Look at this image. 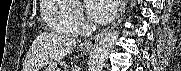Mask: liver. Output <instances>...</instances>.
<instances>
[{"label":"liver","instance_id":"6515ba94","mask_svg":"<svg viewBox=\"0 0 181 71\" xmlns=\"http://www.w3.org/2000/svg\"><path fill=\"white\" fill-rule=\"evenodd\" d=\"M76 47V40L68 36L43 33L34 41L31 53L23 69L24 71H39L45 64H53L63 59Z\"/></svg>","mask_w":181,"mask_h":71}]
</instances>
